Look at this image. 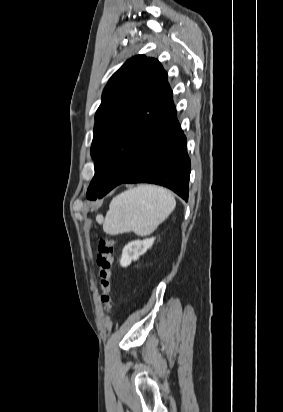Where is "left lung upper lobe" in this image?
Here are the masks:
<instances>
[{
  "mask_svg": "<svg viewBox=\"0 0 283 412\" xmlns=\"http://www.w3.org/2000/svg\"><path fill=\"white\" fill-rule=\"evenodd\" d=\"M167 73L158 60L138 55L113 74L95 115L91 156L103 150L123 154L135 165L148 147L159 122L173 108ZM100 184L91 181L86 197L95 200Z\"/></svg>",
  "mask_w": 283,
  "mask_h": 412,
  "instance_id": "left-lung-upper-lobe-1",
  "label": "left lung upper lobe"
}]
</instances>
